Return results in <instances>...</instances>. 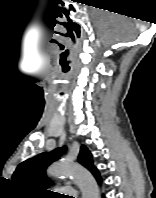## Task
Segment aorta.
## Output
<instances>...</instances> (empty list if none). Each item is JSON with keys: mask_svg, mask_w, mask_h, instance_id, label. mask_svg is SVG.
Segmentation results:
<instances>
[{"mask_svg": "<svg viewBox=\"0 0 156 198\" xmlns=\"http://www.w3.org/2000/svg\"><path fill=\"white\" fill-rule=\"evenodd\" d=\"M47 173L53 177L70 176L82 192V198H99V188L92 174L82 166L65 162L50 166Z\"/></svg>", "mask_w": 156, "mask_h": 198, "instance_id": "762f6f07", "label": "aorta"}]
</instances>
